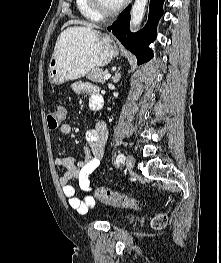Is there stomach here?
I'll return each instance as SVG.
<instances>
[{
    "instance_id": "obj_1",
    "label": "stomach",
    "mask_w": 221,
    "mask_h": 263,
    "mask_svg": "<svg viewBox=\"0 0 221 263\" xmlns=\"http://www.w3.org/2000/svg\"><path fill=\"white\" fill-rule=\"evenodd\" d=\"M118 55L110 35L81 27L66 29L59 36L48 66L52 84L85 76L91 69L107 65Z\"/></svg>"
}]
</instances>
